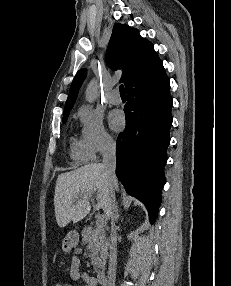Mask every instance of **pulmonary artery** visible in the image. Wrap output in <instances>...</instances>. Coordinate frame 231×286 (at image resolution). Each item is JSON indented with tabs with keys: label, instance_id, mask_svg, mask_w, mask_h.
<instances>
[{
	"label": "pulmonary artery",
	"instance_id": "e3ab8cb5",
	"mask_svg": "<svg viewBox=\"0 0 231 286\" xmlns=\"http://www.w3.org/2000/svg\"><path fill=\"white\" fill-rule=\"evenodd\" d=\"M108 100H109V102H110L111 104H113V105H118V104L121 103V97H120V94H119V92H118L117 89H114V90L110 93V95H109V97H108Z\"/></svg>",
	"mask_w": 231,
	"mask_h": 286
}]
</instances>
